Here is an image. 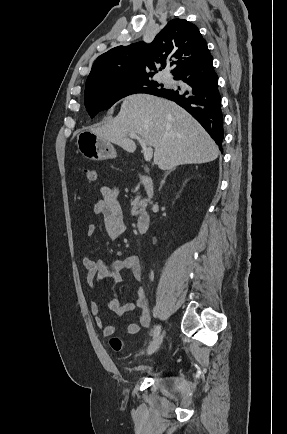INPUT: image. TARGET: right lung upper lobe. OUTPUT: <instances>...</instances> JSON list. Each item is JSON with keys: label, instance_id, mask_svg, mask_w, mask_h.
<instances>
[{"label": "right lung upper lobe", "instance_id": "right-lung-upper-lobe-1", "mask_svg": "<svg viewBox=\"0 0 287 434\" xmlns=\"http://www.w3.org/2000/svg\"><path fill=\"white\" fill-rule=\"evenodd\" d=\"M208 51L206 41L194 24L184 19H173L152 43L121 45L99 56L86 85L112 79L151 76L167 65L172 66L171 72L176 75Z\"/></svg>", "mask_w": 287, "mask_h": 434}]
</instances>
